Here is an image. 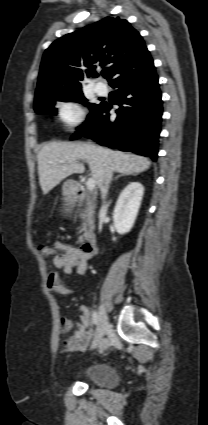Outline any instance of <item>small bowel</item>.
<instances>
[{"label": "small bowel", "instance_id": "small-bowel-1", "mask_svg": "<svg viewBox=\"0 0 208 425\" xmlns=\"http://www.w3.org/2000/svg\"><path fill=\"white\" fill-rule=\"evenodd\" d=\"M53 248L59 253L53 259L56 271L49 274L47 287L53 293L67 296L72 293V290L63 283L60 272L71 275L75 270L79 275L84 274L88 269V261L91 256L85 254L80 248L59 241L54 243ZM78 312V321L68 317L60 319L61 332L73 331V334L63 343L65 351L69 353L85 351L93 338L88 308L82 305Z\"/></svg>", "mask_w": 208, "mask_h": 425}]
</instances>
